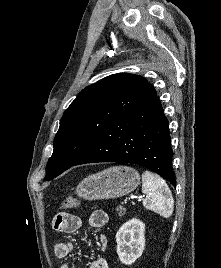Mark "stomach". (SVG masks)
Instances as JSON below:
<instances>
[{
	"mask_svg": "<svg viewBox=\"0 0 221 268\" xmlns=\"http://www.w3.org/2000/svg\"><path fill=\"white\" fill-rule=\"evenodd\" d=\"M140 184L138 171L128 166H114L83 179L76 194L85 200L122 197Z\"/></svg>",
	"mask_w": 221,
	"mask_h": 268,
	"instance_id": "stomach-1",
	"label": "stomach"
}]
</instances>
